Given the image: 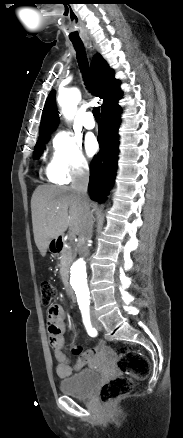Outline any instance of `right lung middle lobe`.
<instances>
[{"instance_id":"right-lung-middle-lobe-1","label":"right lung middle lobe","mask_w":183,"mask_h":438,"mask_svg":"<svg viewBox=\"0 0 183 438\" xmlns=\"http://www.w3.org/2000/svg\"><path fill=\"white\" fill-rule=\"evenodd\" d=\"M50 134L40 136L39 141L36 143L34 152H33V159H37L40 154L42 153V150L44 148V141H47Z\"/></svg>"}]
</instances>
